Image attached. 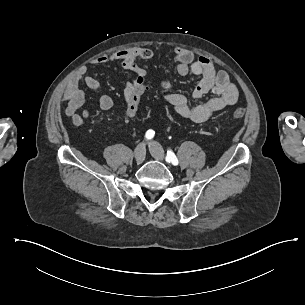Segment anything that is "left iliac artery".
Segmentation results:
<instances>
[{"label": "left iliac artery", "mask_w": 305, "mask_h": 305, "mask_svg": "<svg viewBox=\"0 0 305 305\" xmlns=\"http://www.w3.org/2000/svg\"><path fill=\"white\" fill-rule=\"evenodd\" d=\"M166 161L167 162H171L173 165H178V159L176 158L175 154L171 151H167V155H166Z\"/></svg>", "instance_id": "obj_1"}]
</instances>
